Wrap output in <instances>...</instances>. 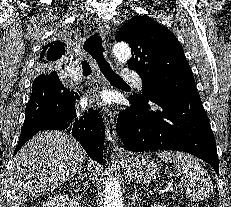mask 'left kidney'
<instances>
[{
  "instance_id": "left-kidney-1",
  "label": "left kidney",
  "mask_w": 231,
  "mask_h": 207,
  "mask_svg": "<svg viewBox=\"0 0 231 207\" xmlns=\"http://www.w3.org/2000/svg\"><path fill=\"white\" fill-rule=\"evenodd\" d=\"M151 207H167V206L159 203H154L151 205Z\"/></svg>"
}]
</instances>
